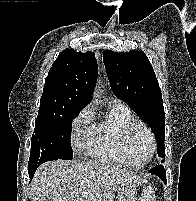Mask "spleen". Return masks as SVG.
Returning <instances> with one entry per match:
<instances>
[{"instance_id": "obj_1", "label": "spleen", "mask_w": 196, "mask_h": 201, "mask_svg": "<svg viewBox=\"0 0 196 201\" xmlns=\"http://www.w3.org/2000/svg\"><path fill=\"white\" fill-rule=\"evenodd\" d=\"M141 201H156L154 191L151 187H147V189L143 191Z\"/></svg>"}]
</instances>
